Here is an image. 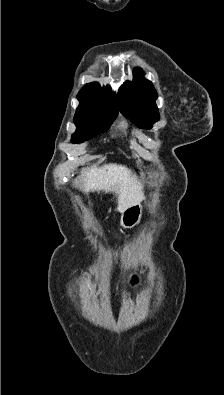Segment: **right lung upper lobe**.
I'll use <instances>...</instances> for the list:
<instances>
[{"label": "right lung upper lobe", "instance_id": "cb5924a9", "mask_svg": "<svg viewBox=\"0 0 224 395\" xmlns=\"http://www.w3.org/2000/svg\"><path fill=\"white\" fill-rule=\"evenodd\" d=\"M78 100L93 107L118 110L116 96L110 92V87H104L94 82L86 84L78 93Z\"/></svg>", "mask_w": 224, "mask_h": 395}]
</instances>
